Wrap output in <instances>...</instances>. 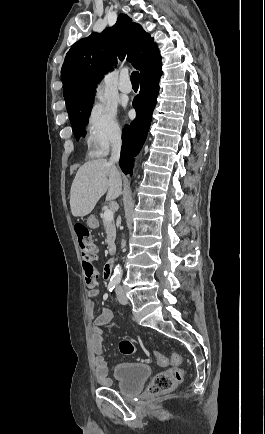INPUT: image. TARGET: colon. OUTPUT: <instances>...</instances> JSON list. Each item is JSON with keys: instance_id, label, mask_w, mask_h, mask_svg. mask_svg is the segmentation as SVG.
<instances>
[{"instance_id": "obj_1", "label": "colon", "mask_w": 265, "mask_h": 434, "mask_svg": "<svg viewBox=\"0 0 265 434\" xmlns=\"http://www.w3.org/2000/svg\"><path fill=\"white\" fill-rule=\"evenodd\" d=\"M74 232L77 237L80 254L84 257V280L89 287L94 288L97 284L98 274L94 264L98 255L97 246L86 225L81 223L75 224ZM119 350L124 355H132L135 352V346L130 340L126 339L119 343ZM155 359L159 365L171 364L173 367L155 374L148 386V391L150 393L172 391L178 383L185 379V371L180 366V357L178 355L165 356L157 353Z\"/></svg>"}]
</instances>
